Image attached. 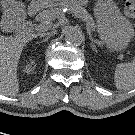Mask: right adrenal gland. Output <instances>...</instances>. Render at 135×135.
<instances>
[{
	"label": "right adrenal gland",
	"instance_id": "obj_1",
	"mask_svg": "<svg viewBox=\"0 0 135 135\" xmlns=\"http://www.w3.org/2000/svg\"><path fill=\"white\" fill-rule=\"evenodd\" d=\"M49 38H50L49 36L46 37L45 39H43V40L41 41V43L48 41Z\"/></svg>",
	"mask_w": 135,
	"mask_h": 135
}]
</instances>
